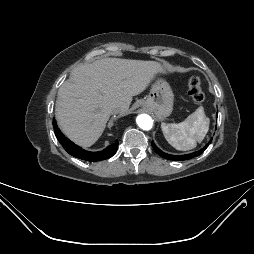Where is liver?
I'll return each instance as SVG.
<instances>
[{"mask_svg": "<svg viewBox=\"0 0 254 254\" xmlns=\"http://www.w3.org/2000/svg\"><path fill=\"white\" fill-rule=\"evenodd\" d=\"M161 66L154 61L104 58L75 68L58 90L55 115L63 133L82 147L102 135L114 107L127 113Z\"/></svg>", "mask_w": 254, "mask_h": 254, "instance_id": "6515ba94", "label": "liver"}]
</instances>
